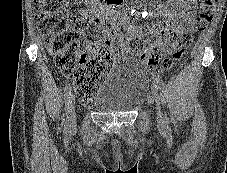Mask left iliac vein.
Returning a JSON list of instances; mask_svg holds the SVG:
<instances>
[{
  "label": "left iliac vein",
  "mask_w": 227,
  "mask_h": 173,
  "mask_svg": "<svg viewBox=\"0 0 227 173\" xmlns=\"http://www.w3.org/2000/svg\"><path fill=\"white\" fill-rule=\"evenodd\" d=\"M151 94L155 100L156 103V115H157V121L159 124H163L165 122V118L161 109V102L158 94V88L157 86L153 83L151 86Z\"/></svg>",
  "instance_id": "1"
}]
</instances>
